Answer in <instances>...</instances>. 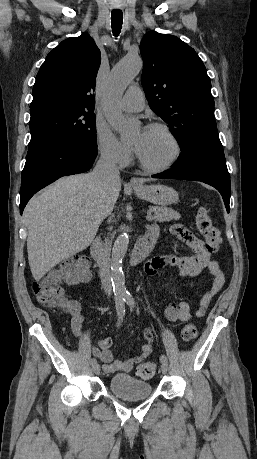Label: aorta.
Returning a JSON list of instances; mask_svg holds the SVG:
<instances>
[{
  "mask_svg": "<svg viewBox=\"0 0 257 459\" xmlns=\"http://www.w3.org/2000/svg\"><path fill=\"white\" fill-rule=\"evenodd\" d=\"M142 68V59L139 56H128L121 60L111 71L105 97L107 102V118L114 129L120 134L122 141L131 140L136 134V121L125 117L114 107V102L122 97L128 85ZM129 228L124 226L116 238L111 257V281L114 295L117 300L127 296L125 276L122 270V261L129 245Z\"/></svg>",
  "mask_w": 257,
  "mask_h": 459,
  "instance_id": "762f6f07",
  "label": "aorta"
}]
</instances>
